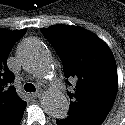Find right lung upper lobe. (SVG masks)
I'll return each instance as SVG.
<instances>
[{
	"label": "right lung upper lobe",
	"mask_w": 125,
	"mask_h": 125,
	"mask_svg": "<svg viewBox=\"0 0 125 125\" xmlns=\"http://www.w3.org/2000/svg\"><path fill=\"white\" fill-rule=\"evenodd\" d=\"M26 31L0 29V118L25 103L17 95L15 87L11 86L14 75L7 67V58L15 42L25 35Z\"/></svg>",
	"instance_id": "obj_1"
}]
</instances>
